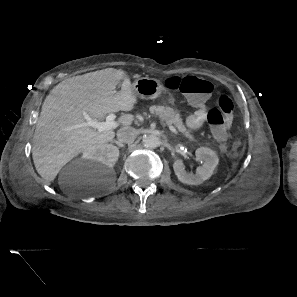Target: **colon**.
<instances>
[{
    "mask_svg": "<svg viewBox=\"0 0 297 297\" xmlns=\"http://www.w3.org/2000/svg\"><path fill=\"white\" fill-rule=\"evenodd\" d=\"M165 85L169 89L185 94L196 103L210 97L214 91V86L209 80L195 76H174L168 78ZM235 107V102L231 97L220 94L217 98V107L208 112L207 121L216 140H226L233 121Z\"/></svg>",
    "mask_w": 297,
    "mask_h": 297,
    "instance_id": "obj_1",
    "label": "colon"
}]
</instances>
